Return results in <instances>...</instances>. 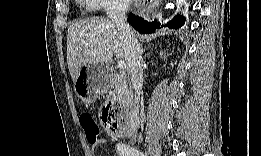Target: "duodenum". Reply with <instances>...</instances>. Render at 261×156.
Returning <instances> with one entry per match:
<instances>
[{
    "label": "duodenum",
    "mask_w": 261,
    "mask_h": 156,
    "mask_svg": "<svg viewBox=\"0 0 261 156\" xmlns=\"http://www.w3.org/2000/svg\"><path fill=\"white\" fill-rule=\"evenodd\" d=\"M112 104L114 106H118L119 108H121L126 114L128 113L129 111V102L128 100H124V99H116L112 102Z\"/></svg>",
    "instance_id": "obj_1"
}]
</instances>
